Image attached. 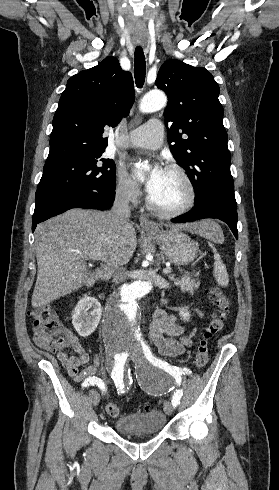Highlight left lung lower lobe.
Listing matches in <instances>:
<instances>
[{
    "label": "left lung lower lobe",
    "mask_w": 279,
    "mask_h": 490,
    "mask_svg": "<svg viewBox=\"0 0 279 490\" xmlns=\"http://www.w3.org/2000/svg\"><path fill=\"white\" fill-rule=\"evenodd\" d=\"M237 204L236 200L230 199L218 193L205 194L202 200L195 204L192 210L179 217L171 219L174 223H185L205 218H216L228 224L236 239L237 231Z\"/></svg>",
    "instance_id": "left-lung-lower-lobe-1"
}]
</instances>
